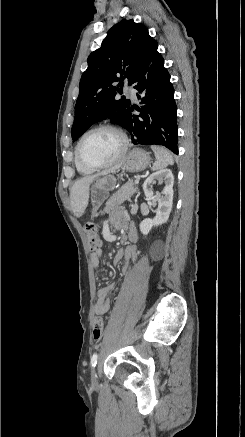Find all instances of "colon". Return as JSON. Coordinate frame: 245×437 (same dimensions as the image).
Wrapping results in <instances>:
<instances>
[{"label": "colon", "mask_w": 245, "mask_h": 437, "mask_svg": "<svg viewBox=\"0 0 245 437\" xmlns=\"http://www.w3.org/2000/svg\"><path fill=\"white\" fill-rule=\"evenodd\" d=\"M85 232L87 235L88 246L90 250H95L99 244L98 230L95 224L87 223L85 225ZM104 332V320L101 317H97L93 324V337L95 340H99Z\"/></svg>", "instance_id": "obj_1"}]
</instances>
